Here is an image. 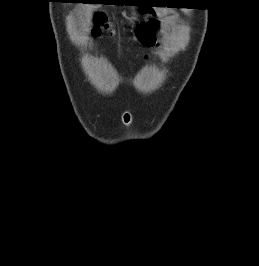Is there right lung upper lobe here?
<instances>
[{"mask_svg": "<svg viewBox=\"0 0 259 266\" xmlns=\"http://www.w3.org/2000/svg\"><path fill=\"white\" fill-rule=\"evenodd\" d=\"M90 1H98V0H90Z\"/></svg>", "mask_w": 259, "mask_h": 266, "instance_id": "1", "label": "right lung upper lobe"}]
</instances>
